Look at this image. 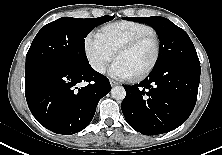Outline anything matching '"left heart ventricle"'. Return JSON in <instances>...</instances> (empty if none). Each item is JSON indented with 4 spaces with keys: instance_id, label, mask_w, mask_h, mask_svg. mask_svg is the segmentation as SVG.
I'll return each mask as SVG.
<instances>
[{
    "instance_id": "b2bd125f",
    "label": "left heart ventricle",
    "mask_w": 222,
    "mask_h": 155,
    "mask_svg": "<svg viewBox=\"0 0 222 155\" xmlns=\"http://www.w3.org/2000/svg\"><path fill=\"white\" fill-rule=\"evenodd\" d=\"M155 53L156 43L154 38L150 37L134 49L120 54L117 59L122 61L134 76L152 63Z\"/></svg>"
}]
</instances>
